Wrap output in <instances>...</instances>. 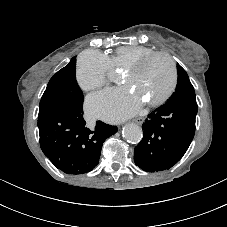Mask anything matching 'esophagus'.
I'll return each mask as SVG.
<instances>
[{
    "label": "esophagus",
    "instance_id": "1",
    "mask_svg": "<svg viewBox=\"0 0 227 227\" xmlns=\"http://www.w3.org/2000/svg\"><path fill=\"white\" fill-rule=\"evenodd\" d=\"M143 121H144V118H142V117L136 118L134 120V122L137 123V124H139V125H141L143 123Z\"/></svg>",
    "mask_w": 227,
    "mask_h": 227
}]
</instances>
